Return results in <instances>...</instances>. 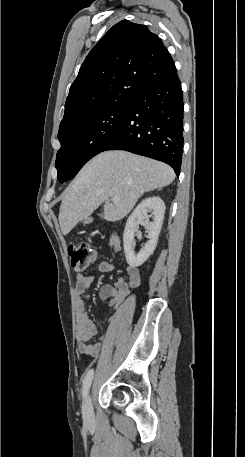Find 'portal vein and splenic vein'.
Here are the masks:
<instances>
[{
    "label": "portal vein and splenic vein",
    "instance_id": "18ae733b",
    "mask_svg": "<svg viewBox=\"0 0 245 457\" xmlns=\"http://www.w3.org/2000/svg\"><path fill=\"white\" fill-rule=\"evenodd\" d=\"M114 204H119V196H114V198H112Z\"/></svg>",
    "mask_w": 245,
    "mask_h": 457
}]
</instances>
